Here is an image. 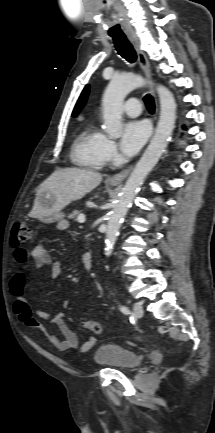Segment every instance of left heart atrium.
I'll list each match as a JSON object with an SVG mask.
<instances>
[{"label":"left heart atrium","instance_id":"1","mask_svg":"<svg viewBox=\"0 0 215 433\" xmlns=\"http://www.w3.org/2000/svg\"><path fill=\"white\" fill-rule=\"evenodd\" d=\"M149 136V126L145 121L132 120L124 124L120 140L123 154L132 156L144 145Z\"/></svg>","mask_w":215,"mask_h":433}]
</instances>
